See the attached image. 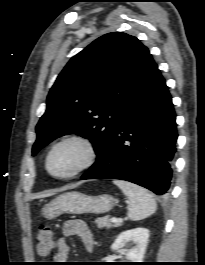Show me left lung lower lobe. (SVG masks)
Instances as JSON below:
<instances>
[{
	"label": "left lung lower lobe",
	"instance_id": "0a47b994",
	"mask_svg": "<svg viewBox=\"0 0 205 265\" xmlns=\"http://www.w3.org/2000/svg\"><path fill=\"white\" fill-rule=\"evenodd\" d=\"M171 95L157 65L121 114L111 138L81 179H121L168 193L177 130Z\"/></svg>",
	"mask_w": 205,
	"mask_h": 265
}]
</instances>
